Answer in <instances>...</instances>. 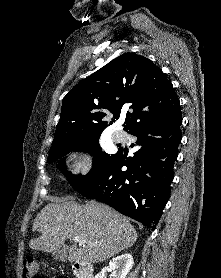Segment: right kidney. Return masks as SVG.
Segmentation results:
<instances>
[{
  "mask_svg": "<svg viewBox=\"0 0 221 278\" xmlns=\"http://www.w3.org/2000/svg\"><path fill=\"white\" fill-rule=\"evenodd\" d=\"M134 260L131 254H123L116 257L110 264L113 278H125L132 269ZM106 268H103L100 273H98L95 278H106L105 277Z\"/></svg>",
  "mask_w": 221,
  "mask_h": 278,
  "instance_id": "right-kidney-1",
  "label": "right kidney"
}]
</instances>
